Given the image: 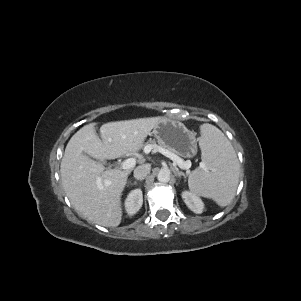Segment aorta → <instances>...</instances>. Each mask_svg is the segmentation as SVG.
<instances>
[{
    "label": "aorta",
    "mask_w": 301,
    "mask_h": 301,
    "mask_svg": "<svg viewBox=\"0 0 301 301\" xmlns=\"http://www.w3.org/2000/svg\"><path fill=\"white\" fill-rule=\"evenodd\" d=\"M171 178V171L169 168L167 167H164V168H161L158 172V175H157V179L159 182H168Z\"/></svg>",
    "instance_id": "aorta-1"
}]
</instances>
